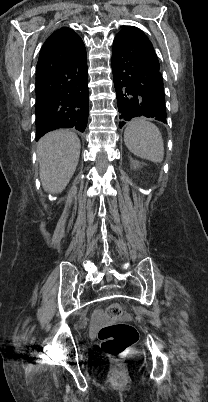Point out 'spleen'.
<instances>
[{"label":"spleen","mask_w":208,"mask_h":402,"mask_svg":"<svg viewBox=\"0 0 208 402\" xmlns=\"http://www.w3.org/2000/svg\"><path fill=\"white\" fill-rule=\"evenodd\" d=\"M124 142L128 150L150 162H162L164 158L163 138L155 124L146 120H132L124 132Z\"/></svg>","instance_id":"3e777b00"}]
</instances>
